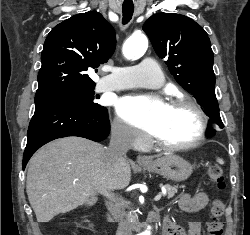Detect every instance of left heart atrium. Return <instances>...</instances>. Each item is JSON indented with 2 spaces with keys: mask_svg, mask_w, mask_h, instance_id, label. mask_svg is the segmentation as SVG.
<instances>
[{
  "mask_svg": "<svg viewBox=\"0 0 250 235\" xmlns=\"http://www.w3.org/2000/svg\"><path fill=\"white\" fill-rule=\"evenodd\" d=\"M165 107L162 101L146 97H125L117 106L119 114L125 120L148 132L154 130Z\"/></svg>",
  "mask_w": 250,
  "mask_h": 235,
  "instance_id": "39dd6f15",
  "label": "left heart atrium"
}]
</instances>
